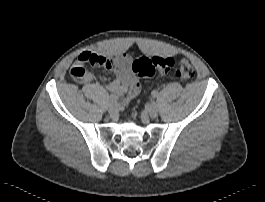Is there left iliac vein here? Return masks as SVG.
Wrapping results in <instances>:
<instances>
[{"label": "left iliac vein", "instance_id": "obj_1", "mask_svg": "<svg viewBox=\"0 0 265 202\" xmlns=\"http://www.w3.org/2000/svg\"><path fill=\"white\" fill-rule=\"evenodd\" d=\"M147 113L150 117L155 118L158 115V108L156 103H150L147 107Z\"/></svg>", "mask_w": 265, "mask_h": 202}]
</instances>
